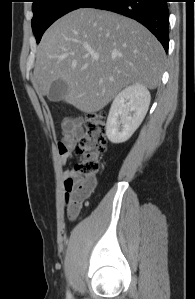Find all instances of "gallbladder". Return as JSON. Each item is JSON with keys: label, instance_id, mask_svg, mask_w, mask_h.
Instances as JSON below:
<instances>
[{"label": "gallbladder", "instance_id": "gallbladder-1", "mask_svg": "<svg viewBox=\"0 0 195 299\" xmlns=\"http://www.w3.org/2000/svg\"><path fill=\"white\" fill-rule=\"evenodd\" d=\"M68 85L63 80L54 81L48 93V99L52 102H59L66 94Z\"/></svg>", "mask_w": 195, "mask_h": 299}]
</instances>
